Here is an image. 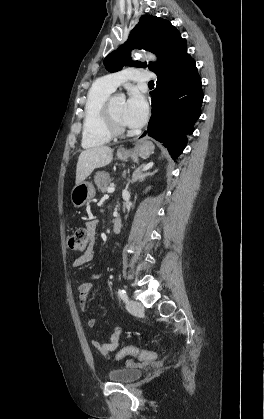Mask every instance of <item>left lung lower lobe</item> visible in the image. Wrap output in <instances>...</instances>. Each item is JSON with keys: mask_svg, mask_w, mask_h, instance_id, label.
Here are the masks:
<instances>
[{"mask_svg": "<svg viewBox=\"0 0 264 419\" xmlns=\"http://www.w3.org/2000/svg\"><path fill=\"white\" fill-rule=\"evenodd\" d=\"M155 74L157 86L150 92L152 116L147 133L163 143L175 160L187 144V135L194 131L203 102L201 78L185 39L179 36L166 48Z\"/></svg>", "mask_w": 264, "mask_h": 419, "instance_id": "obj_1", "label": "left lung lower lobe"}]
</instances>
